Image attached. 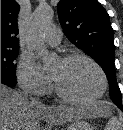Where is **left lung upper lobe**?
I'll list each match as a JSON object with an SVG mask.
<instances>
[{"label":"left lung upper lobe","instance_id":"obj_1","mask_svg":"<svg viewBox=\"0 0 123 130\" xmlns=\"http://www.w3.org/2000/svg\"><path fill=\"white\" fill-rule=\"evenodd\" d=\"M57 8L66 36L102 67L108 78L111 100L123 108L115 79V46L107 11L97 0H61Z\"/></svg>","mask_w":123,"mask_h":130}]
</instances>
